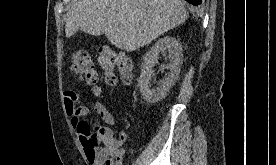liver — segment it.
I'll use <instances>...</instances> for the list:
<instances>
[{
  "label": "liver",
  "instance_id": "6515ba94",
  "mask_svg": "<svg viewBox=\"0 0 276 165\" xmlns=\"http://www.w3.org/2000/svg\"><path fill=\"white\" fill-rule=\"evenodd\" d=\"M187 18L181 0H79L67 13L65 33L105 34L112 45L132 52Z\"/></svg>",
  "mask_w": 276,
  "mask_h": 165
}]
</instances>
